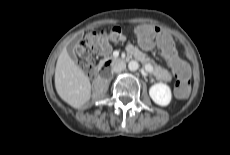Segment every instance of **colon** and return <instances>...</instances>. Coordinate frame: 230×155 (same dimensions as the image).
Masks as SVG:
<instances>
[{
	"label": "colon",
	"instance_id": "obj_1",
	"mask_svg": "<svg viewBox=\"0 0 230 155\" xmlns=\"http://www.w3.org/2000/svg\"><path fill=\"white\" fill-rule=\"evenodd\" d=\"M125 39L120 27H113L109 32H92L80 41L76 46V54L81 59V66L84 70L92 74L94 72V62L90 51L102 53L107 50L109 43L118 44ZM177 78L175 92L178 97H185L189 92V70L185 63L178 64L174 69Z\"/></svg>",
	"mask_w": 230,
	"mask_h": 155
}]
</instances>
